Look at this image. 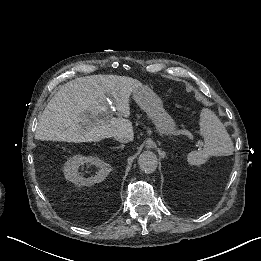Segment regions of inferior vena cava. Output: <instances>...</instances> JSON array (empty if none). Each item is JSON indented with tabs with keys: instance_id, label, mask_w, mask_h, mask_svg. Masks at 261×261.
I'll return each instance as SVG.
<instances>
[{
	"instance_id": "1",
	"label": "inferior vena cava",
	"mask_w": 261,
	"mask_h": 261,
	"mask_svg": "<svg viewBox=\"0 0 261 261\" xmlns=\"http://www.w3.org/2000/svg\"><path fill=\"white\" fill-rule=\"evenodd\" d=\"M116 140H118L120 143L128 142V138L125 137V136H122V137L116 138Z\"/></svg>"
}]
</instances>
